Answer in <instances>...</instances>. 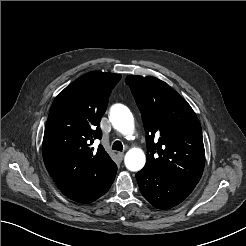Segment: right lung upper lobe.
Instances as JSON below:
<instances>
[{
    "mask_svg": "<svg viewBox=\"0 0 246 246\" xmlns=\"http://www.w3.org/2000/svg\"><path fill=\"white\" fill-rule=\"evenodd\" d=\"M121 76L93 71L86 73L54 99L45 127L42 153L45 166L57 185L80 181L117 169L102 145L100 120Z\"/></svg>",
    "mask_w": 246,
    "mask_h": 246,
    "instance_id": "obj_1",
    "label": "right lung upper lobe"
}]
</instances>
